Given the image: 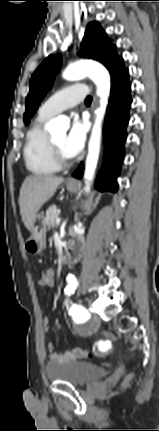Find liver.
Segmentation results:
<instances>
[{
	"mask_svg": "<svg viewBox=\"0 0 159 431\" xmlns=\"http://www.w3.org/2000/svg\"><path fill=\"white\" fill-rule=\"evenodd\" d=\"M64 178L54 175H31L25 178L19 196L22 221L30 230L41 207L55 194Z\"/></svg>",
	"mask_w": 159,
	"mask_h": 431,
	"instance_id": "1",
	"label": "liver"
}]
</instances>
